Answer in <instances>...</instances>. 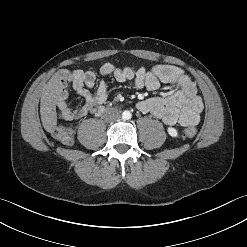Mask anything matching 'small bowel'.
Listing matches in <instances>:
<instances>
[{"label":"small bowel","mask_w":247,"mask_h":247,"mask_svg":"<svg viewBox=\"0 0 247 247\" xmlns=\"http://www.w3.org/2000/svg\"><path fill=\"white\" fill-rule=\"evenodd\" d=\"M100 78L93 70L63 69L57 74L58 93L56 107L58 116L64 121H75L92 114L108 98V86L105 77L112 75L116 81L140 89L157 90L161 83L173 84L178 90L166 97H152L140 100L136 104L138 111L162 120L167 125L180 124L194 126L200 122L203 103L197 94L195 83L184 71L173 65L161 64L150 69L128 66L116 67L104 63L99 69ZM96 88L94 93L90 89ZM74 90L84 100V105L72 109L68 103L69 90Z\"/></svg>","instance_id":"obj_1"}]
</instances>
